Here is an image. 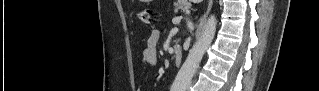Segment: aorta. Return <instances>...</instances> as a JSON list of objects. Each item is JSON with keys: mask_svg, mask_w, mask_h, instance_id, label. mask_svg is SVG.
<instances>
[{"mask_svg": "<svg viewBox=\"0 0 319 91\" xmlns=\"http://www.w3.org/2000/svg\"><path fill=\"white\" fill-rule=\"evenodd\" d=\"M216 26V17L211 15L203 27L202 35L193 45L188 57L177 73L172 85V89H174V91H186V89L189 87L206 50L212 43L216 32Z\"/></svg>", "mask_w": 319, "mask_h": 91, "instance_id": "aorta-1", "label": "aorta"}]
</instances>
